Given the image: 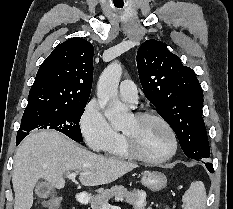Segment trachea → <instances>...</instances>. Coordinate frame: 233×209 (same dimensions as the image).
I'll return each instance as SVG.
<instances>
[{
	"mask_svg": "<svg viewBox=\"0 0 233 209\" xmlns=\"http://www.w3.org/2000/svg\"><path fill=\"white\" fill-rule=\"evenodd\" d=\"M117 8H122V6H116Z\"/></svg>",
	"mask_w": 233,
	"mask_h": 209,
	"instance_id": "obj_1",
	"label": "trachea"
}]
</instances>
